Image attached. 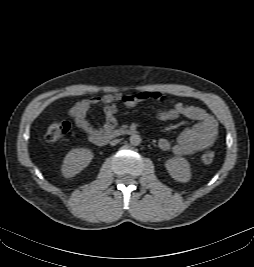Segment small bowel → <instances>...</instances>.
Returning a JSON list of instances; mask_svg holds the SVG:
<instances>
[{"label":"small bowel","instance_id":"obj_1","mask_svg":"<svg viewBox=\"0 0 254 267\" xmlns=\"http://www.w3.org/2000/svg\"><path fill=\"white\" fill-rule=\"evenodd\" d=\"M149 99L165 100V96L160 92L151 91H140L127 95L110 93L102 97L80 100L71 107L69 113L76 126L91 137L95 133L112 130L116 126L117 101H121L126 107L131 108ZM98 104L102 105L105 116L102 129L93 127L87 120V114L91 107ZM158 117L162 121H170L179 117L196 121L194 126L183 130L179 134L175 143L167 139L159 140L161 150L172 151L176 155H191L205 150L213 144L217 136L218 125L216 120L204 109L197 106L176 102L172 107L161 110Z\"/></svg>","mask_w":254,"mask_h":267}]
</instances>
